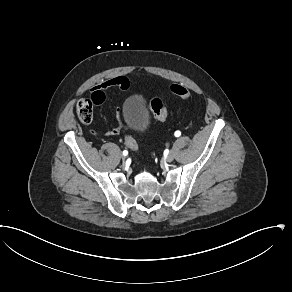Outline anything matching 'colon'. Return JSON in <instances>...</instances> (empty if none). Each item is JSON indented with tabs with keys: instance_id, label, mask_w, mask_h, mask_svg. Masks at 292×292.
<instances>
[{
	"instance_id": "1",
	"label": "colon",
	"mask_w": 292,
	"mask_h": 292,
	"mask_svg": "<svg viewBox=\"0 0 292 292\" xmlns=\"http://www.w3.org/2000/svg\"><path fill=\"white\" fill-rule=\"evenodd\" d=\"M172 91L176 96L188 99L187 90L181 85H174ZM105 99V93L100 90L95 91L91 97H81L75 107L78 120L84 125L91 124L94 117V108L103 104ZM145 105L158 121H164L168 117V109L160 98H153L149 103H145ZM124 143L131 152H136L139 149L138 143L132 134L124 135Z\"/></svg>"
}]
</instances>
